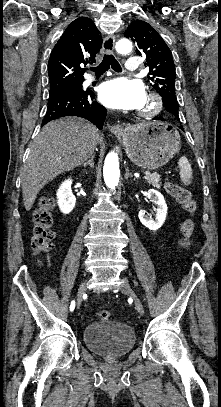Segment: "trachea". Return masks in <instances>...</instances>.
Listing matches in <instances>:
<instances>
[{
  "label": "trachea",
  "instance_id": "1",
  "mask_svg": "<svg viewBox=\"0 0 221 407\" xmlns=\"http://www.w3.org/2000/svg\"><path fill=\"white\" fill-rule=\"evenodd\" d=\"M110 67L116 72H121L122 68L118 61L114 58L112 54L104 55V58L99 66L90 67V70L95 72L96 75H101L105 73Z\"/></svg>",
  "mask_w": 221,
  "mask_h": 407
}]
</instances>
